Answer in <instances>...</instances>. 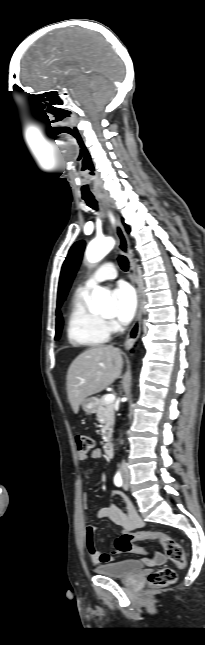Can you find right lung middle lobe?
<instances>
[{
  "label": "right lung middle lobe",
  "mask_w": 205,
  "mask_h": 645,
  "mask_svg": "<svg viewBox=\"0 0 205 645\" xmlns=\"http://www.w3.org/2000/svg\"><path fill=\"white\" fill-rule=\"evenodd\" d=\"M62 324H63L62 317L56 320V336H55V340H58V338L60 337Z\"/></svg>",
  "instance_id": "right-lung-middle-lobe-1"
}]
</instances>
